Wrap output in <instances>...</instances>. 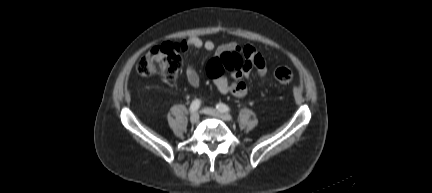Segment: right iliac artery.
<instances>
[{
  "instance_id": "82829eb1",
  "label": "right iliac artery",
  "mask_w": 432,
  "mask_h": 193,
  "mask_svg": "<svg viewBox=\"0 0 432 193\" xmlns=\"http://www.w3.org/2000/svg\"><path fill=\"white\" fill-rule=\"evenodd\" d=\"M200 105H201L200 100L196 99V100L192 101V103L190 105V111L196 112L200 108Z\"/></svg>"
}]
</instances>
